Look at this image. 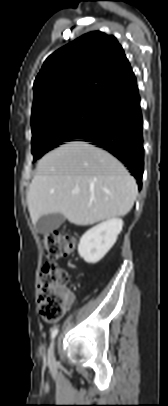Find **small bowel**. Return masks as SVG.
Wrapping results in <instances>:
<instances>
[{
  "label": "small bowel",
  "instance_id": "1",
  "mask_svg": "<svg viewBox=\"0 0 168 406\" xmlns=\"http://www.w3.org/2000/svg\"><path fill=\"white\" fill-rule=\"evenodd\" d=\"M74 301V294L70 290L66 289V294H65V305L69 307Z\"/></svg>",
  "mask_w": 168,
  "mask_h": 406
}]
</instances>
